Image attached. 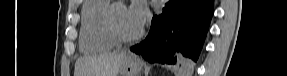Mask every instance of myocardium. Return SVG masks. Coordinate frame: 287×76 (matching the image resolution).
Listing matches in <instances>:
<instances>
[{"instance_id": "obj_1", "label": "myocardium", "mask_w": 287, "mask_h": 76, "mask_svg": "<svg viewBox=\"0 0 287 76\" xmlns=\"http://www.w3.org/2000/svg\"><path fill=\"white\" fill-rule=\"evenodd\" d=\"M118 6H125L123 2H114L106 12L105 28L109 35L115 40L116 43H128L140 39L143 35V30L140 29L135 34H126L118 26L116 22V8Z\"/></svg>"}]
</instances>
